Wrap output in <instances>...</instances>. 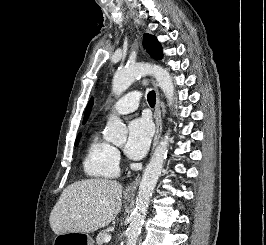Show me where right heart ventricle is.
<instances>
[{
  "label": "right heart ventricle",
  "instance_id": "obj_1",
  "mask_svg": "<svg viewBox=\"0 0 266 245\" xmlns=\"http://www.w3.org/2000/svg\"><path fill=\"white\" fill-rule=\"evenodd\" d=\"M83 170L87 177L98 181H111L120 175V166L115 155V149L100 138L97 130L88 138L83 159Z\"/></svg>",
  "mask_w": 266,
  "mask_h": 245
}]
</instances>
